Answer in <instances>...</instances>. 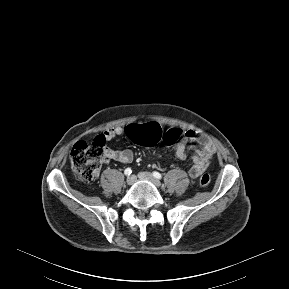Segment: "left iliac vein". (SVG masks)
<instances>
[{
    "mask_svg": "<svg viewBox=\"0 0 289 289\" xmlns=\"http://www.w3.org/2000/svg\"><path fill=\"white\" fill-rule=\"evenodd\" d=\"M138 178L141 180H147L150 181L151 183H153L156 187H160L161 183L159 180H157L152 174L148 173V172H140L138 174Z\"/></svg>",
    "mask_w": 289,
    "mask_h": 289,
    "instance_id": "4c4485c4",
    "label": "left iliac vein"
}]
</instances>
